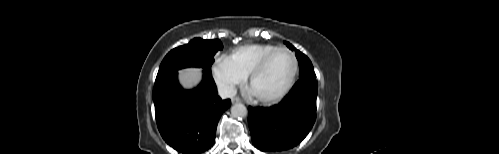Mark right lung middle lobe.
Segmentation results:
<instances>
[{"mask_svg": "<svg viewBox=\"0 0 499 154\" xmlns=\"http://www.w3.org/2000/svg\"><path fill=\"white\" fill-rule=\"evenodd\" d=\"M222 49L223 45L218 39L195 38L188 44L174 48L165 56L157 77L186 67H202L205 70H211L214 55Z\"/></svg>", "mask_w": 499, "mask_h": 154, "instance_id": "1", "label": "right lung middle lobe"}]
</instances>
